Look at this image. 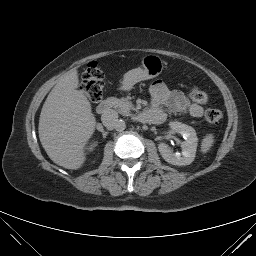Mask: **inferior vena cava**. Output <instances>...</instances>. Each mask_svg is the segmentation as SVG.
<instances>
[{
	"instance_id": "1",
	"label": "inferior vena cava",
	"mask_w": 256,
	"mask_h": 256,
	"mask_svg": "<svg viewBox=\"0 0 256 256\" xmlns=\"http://www.w3.org/2000/svg\"><path fill=\"white\" fill-rule=\"evenodd\" d=\"M101 120H102L103 125L107 129H109V130L116 129V126L119 122L118 113L113 109L107 110L106 112H104L102 114Z\"/></svg>"
}]
</instances>
